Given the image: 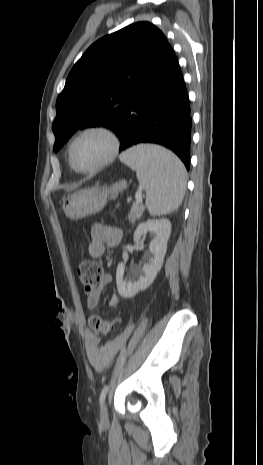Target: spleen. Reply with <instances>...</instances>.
I'll return each instance as SVG.
<instances>
[{
	"label": "spleen",
	"instance_id": "spleen-1",
	"mask_svg": "<svg viewBox=\"0 0 263 465\" xmlns=\"http://www.w3.org/2000/svg\"><path fill=\"white\" fill-rule=\"evenodd\" d=\"M121 160L136 171L146 190V207L153 216L176 210L186 190V169L172 152L156 145H138L123 153Z\"/></svg>",
	"mask_w": 263,
	"mask_h": 465
}]
</instances>
